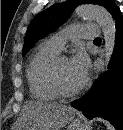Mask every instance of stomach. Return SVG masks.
Segmentation results:
<instances>
[{"instance_id": "0dacf381", "label": "stomach", "mask_w": 123, "mask_h": 130, "mask_svg": "<svg viewBox=\"0 0 123 130\" xmlns=\"http://www.w3.org/2000/svg\"><path fill=\"white\" fill-rule=\"evenodd\" d=\"M69 130H84V125L80 120H71L68 126Z\"/></svg>"}]
</instances>
